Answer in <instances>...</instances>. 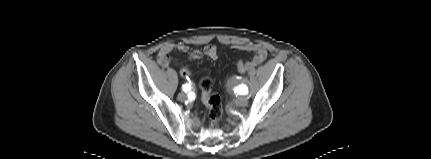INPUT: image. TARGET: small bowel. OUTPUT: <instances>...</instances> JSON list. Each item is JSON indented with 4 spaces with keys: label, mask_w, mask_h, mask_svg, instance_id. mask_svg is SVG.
Wrapping results in <instances>:
<instances>
[{
    "label": "small bowel",
    "mask_w": 431,
    "mask_h": 159,
    "mask_svg": "<svg viewBox=\"0 0 431 159\" xmlns=\"http://www.w3.org/2000/svg\"><path fill=\"white\" fill-rule=\"evenodd\" d=\"M233 48L237 50L254 52L253 58L247 62H244V67L246 71L258 66L259 64L264 62L267 57V50L265 49L264 46L260 44L244 43V44L234 45ZM188 50H189V47L182 42L166 44L160 49L157 56V61L162 67H168L173 62V59L170 56L171 52L178 51V52L185 53V52H188ZM203 55L208 56L211 59H216L218 57V49L214 45H208L204 48L203 51H200V50L192 51L189 55V58L190 60H196V59H200Z\"/></svg>",
    "instance_id": "1"
}]
</instances>
